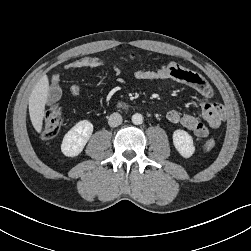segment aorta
<instances>
[{"mask_svg": "<svg viewBox=\"0 0 251 251\" xmlns=\"http://www.w3.org/2000/svg\"><path fill=\"white\" fill-rule=\"evenodd\" d=\"M132 123L135 124V125H140L143 123V116L139 113H135L133 116H132Z\"/></svg>", "mask_w": 251, "mask_h": 251, "instance_id": "obj_1", "label": "aorta"}]
</instances>
